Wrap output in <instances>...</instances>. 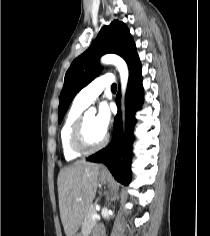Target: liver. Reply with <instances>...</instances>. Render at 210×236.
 I'll list each match as a JSON object with an SVG mask.
<instances>
[{
  "mask_svg": "<svg viewBox=\"0 0 210 236\" xmlns=\"http://www.w3.org/2000/svg\"><path fill=\"white\" fill-rule=\"evenodd\" d=\"M100 165L78 161L58 175L60 217L66 236H75L96 195Z\"/></svg>",
  "mask_w": 210,
  "mask_h": 236,
  "instance_id": "liver-1",
  "label": "liver"
}]
</instances>
